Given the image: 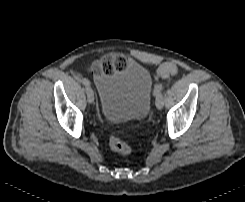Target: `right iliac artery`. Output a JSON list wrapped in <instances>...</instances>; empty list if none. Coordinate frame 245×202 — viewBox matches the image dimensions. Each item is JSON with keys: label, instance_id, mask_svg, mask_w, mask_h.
I'll return each mask as SVG.
<instances>
[{"label": "right iliac artery", "instance_id": "right-iliac-artery-1", "mask_svg": "<svg viewBox=\"0 0 245 202\" xmlns=\"http://www.w3.org/2000/svg\"><path fill=\"white\" fill-rule=\"evenodd\" d=\"M82 83H83V85H85L86 87H89V86H90V82H89L86 78L82 79Z\"/></svg>", "mask_w": 245, "mask_h": 202}]
</instances>
